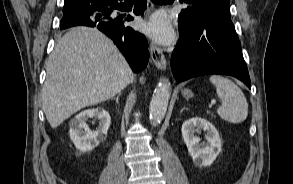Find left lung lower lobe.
<instances>
[{
	"instance_id": "1",
	"label": "left lung lower lobe",
	"mask_w": 293,
	"mask_h": 184,
	"mask_svg": "<svg viewBox=\"0 0 293 184\" xmlns=\"http://www.w3.org/2000/svg\"><path fill=\"white\" fill-rule=\"evenodd\" d=\"M179 18L180 38L171 57L178 82L204 74H226L251 88L241 44L230 14L211 7L184 9Z\"/></svg>"
}]
</instances>
